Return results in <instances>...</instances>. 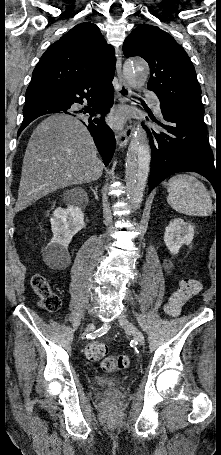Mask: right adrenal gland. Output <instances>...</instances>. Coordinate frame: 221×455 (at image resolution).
I'll list each match as a JSON object with an SVG mask.
<instances>
[{"label": "right adrenal gland", "mask_w": 221, "mask_h": 455, "mask_svg": "<svg viewBox=\"0 0 221 455\" xmlns=\"http://www.w3.org/2000/svg\"><path fill=\"white\" fill-rule=\"evenodd\" d=\"M91 190L94 193V196H95L96 200H98V191H97L98 190V186H95L94 189L91 187Z\"/></svg>", "instance_id": "2a0ac1e0"}]
</instances>
